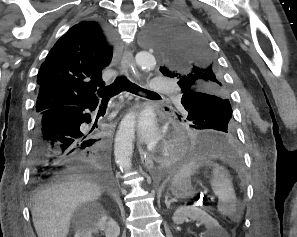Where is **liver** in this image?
I'll use <instances>...</instances> for the list:
<instances>
[{
	"instance_id": "6515ba94",
	"label": "liver",
	"mask_w": 297,
	"mask_h": 237,
	"mask_svg": "<svg viewBox=\"0 0 297 237\" xmlns=\"http://www.w3.org/2000/svg\"><path fill=\"white\" fill-rule=\"evenodd\" d=\"M102 190L90 177L72 175L48 185L33 196V225L38 237H67L74 211L93 202Z\"/></svg>"
}]
</instances>
